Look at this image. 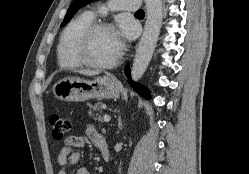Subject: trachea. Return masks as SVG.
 <instances>
[{"instance_id":"trachea-1","label":"trachea","mask_w":249,"mask_h":174,"mask_svg":"<svg viewBox=\"0 0 249 174\" xmlns=\"http://www.w3.org/2000/svg\"><path fill=\"white\" fill-rule=\"evenodd\" d=\"M135 14H144V11L142 9H140Z\"/></svg>"}]
</instances>
